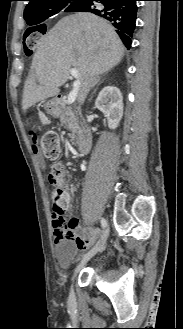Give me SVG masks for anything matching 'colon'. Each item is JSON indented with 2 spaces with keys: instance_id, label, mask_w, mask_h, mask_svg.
Here are the masks:
<instances>
[{
  "instance_id": "colon-1",
  "label": "colon",
  "mask_w": 183,
  "mask_h": 329,
  "mask_svg": "<svg viewBox=\"0 0 183 329\" xmlns=\"http://www.w3.org/2000/svg\"><path fill=\"white\" fill-rule=\"evenodd\" d=\"M50 25H27L26 31H21L20 44L26 49V53L30 54L35 49H42V38H45V32H50ZM39 142L43 155L50 160H54L59 156V138L54 131H45L39 137H34ZM61 171L57 169L51 170L48 179L54 188L51 192L53 215L59 218L61 223L66 227L67 214L71 205V197L65 185L59 183Z\"/></svg>"
}]
</instances>
